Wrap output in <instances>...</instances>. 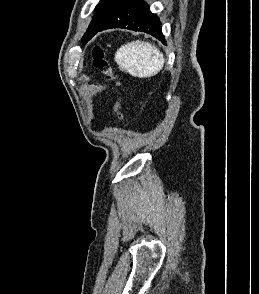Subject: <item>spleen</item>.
I'll list each match as a JSON object with an SVG mask.
<instances>
[{
  "label": "spleen",
  "instance_id": "3e777b00",
  "mask_svg": "<svg viewBox=\"0 0 259 294\" xmlns=\"http://www.w3.org/2000/svg\"><path fill=\"white\" fill-rule=\"evenodd\" d=\"M114 59L123 71L138 78L158 74L165 62L163 53L155 45L139 40L121 46Z\"/></svg>",
  "mask_w": 259,
  "mask_h": 294
}]
</instances>
